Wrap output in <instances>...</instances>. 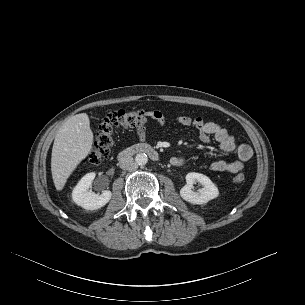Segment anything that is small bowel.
<instances>
[{"mask_svg":"<svg viewBox=\"0 0 305 305\" xmlns=\"http://www.w3.org/2000/svg\"><path fill=\"white\" fill-rule=\"evenodd\" d=\"M160 126L166 124L165 117L160 114L154 118ZM175 123L193 127L197 132L198 139L203 143H208L214 139L219 148L224 152H236L237 159L234 161H214L207 165V168L213 172L236 174L243 170L244 165L252 156V148L247 144L237 145L235 138L229 131L218 123L205 121L202 117L191 118L189 116H178L175 118ZM137 135L140 140L146 137V129L144 126L137 128ZM170 163L176 167H182L186 161L182 157H173Z\"/></svg>","mask_w":305,"mask_h":305,"instance_id":"c3829d8e","label":"small bowel"}]
</instances>
